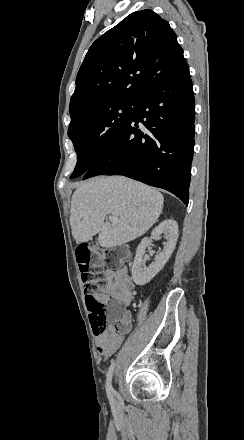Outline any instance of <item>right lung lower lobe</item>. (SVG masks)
<instances>
[{
  "instance_id": "1",
  "label": "right lung lower lobe",
  "mask_w": 244,
  "mask_h": 440,
  "mask_svg": "<svg viewBox=\"0 0 244 440\" xmlns=\"http://www.w3.org/2000/svg\"><path fill=\"white\" fill-rule=\"evenodd\" d=\"M195 101L187 62L159 73L125 129L86 171L124 175L176 195L188 205Z\"/></svg>"
}]
</instances>
